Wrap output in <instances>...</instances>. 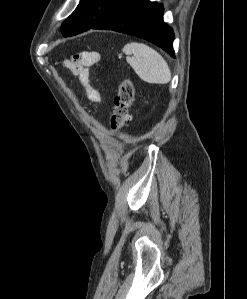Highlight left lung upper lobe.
Returning a JSON list of instances; mask_svg holds the SVG:
<instances>
[{
    "label": "left lung upper lobe",
    "instance_id": "1",
    "mask_svg": "<svg viewBox=\"0 0 247 299\" xmlns=\"http://www.w3.org/2000/svg\"><path fill=\"white\" fill-rule=\"evenodd\" d=\"M125 0H80L75 11L62 23L61 31L73 36L91 29L106 15L117 9Z\"/></svg>",
    "mask_w": 247,
    "mask_h": 299
}]
</instances>
